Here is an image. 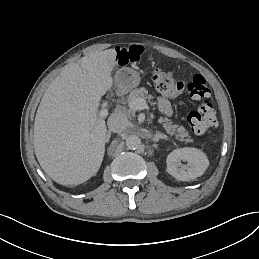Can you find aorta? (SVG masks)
I'll return each mask as SVG.
<instances>
[{"label": "aorta", "mask_w": 259, "mask_h": 259, "mask_svg": "<svg viewBox=\"0 0 259 259\" xmlns=\"http://www.w3.org/2000/svg\"><path fill=\"white\" fill-rule=\"evenodd\" d=\"M126 146L130 150L138 149L141 146V139L137 135H129L126 138Z\"/></svg>", "instance_id": "1"}]
</instances>
